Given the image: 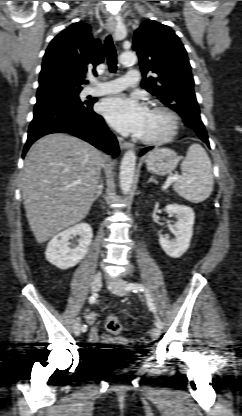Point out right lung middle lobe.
Listing matches in <instances>:
<instances>
[{
  "mask_svg": "<svg viewBox=\"0 0 242 416\" xmlns=\"http://www.w3.org/2000/svg\"><path fill=\"white\" fill-rule=\"evenodd\" d=\"M81 89H59L55 92H53L50 96L47 97H43V98H48V97H66L69 99H74V100H79V93H80ZM38 99H42V98H38Z\"/></svg>",
  "mask_w": 242,
  "mask_h": 416,
  "instance_id": "obj_1",
  "label": "right lung middle lobe"
}]
</instances>
